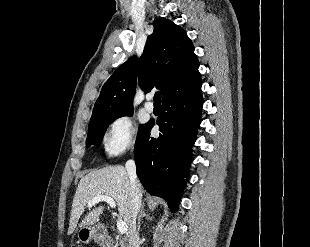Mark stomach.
Segmentation results:
<instances>
[{"label":"stomach","instance_id":"0dacf381","mask_svg":"<svg viewBox=\"0 0 310 247\" xmlns=\"http://www.w3.org/2000/svg\"><path fill=\"white\" fill-rule=\"evenodd\" d=\"M101 226H82L78 231V240L83 244H88L91 240H100L101 238Z\"/></svg>","mask_w":310,"mask_h":247}]
</instances>
